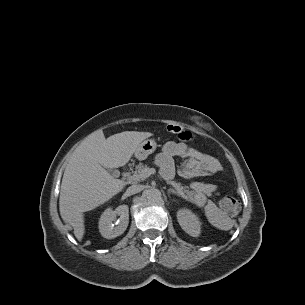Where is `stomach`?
<instances>
[{
	"label": "stomach",
	"instance_id": "1",
	"mask_svg": "<svg viewBox=\"0 0 305 305\" xmlns=\"http://www.w3.org/2000/svg\"><path fill=\"white\" fill-rule=\"evenodd\" d=\"M157 148V143L154 139H146L141 142L134 152V156L142 161L152 154Z\"/></svg>",
	"mask_w": 305,
	"mask_h": 305
}]
</instances>
